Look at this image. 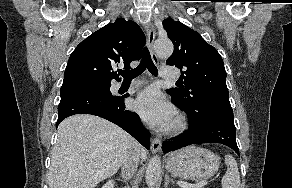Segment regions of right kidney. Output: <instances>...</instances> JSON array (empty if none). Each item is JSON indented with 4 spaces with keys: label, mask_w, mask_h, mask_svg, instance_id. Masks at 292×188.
I'll list each match as a JSON object with an SVG mask.
<instances>
[{
    "label": "right kidney",
    "mask_w": 292,
    "mask_h": 188,
    "mask_svg": "<svg viewBox=\"0 0 292 188\" xmlns=\"http://www.w3.org/2000/svg\"><path fill=\"white\" fill-rule=\"evenodd\" d=\"M102 188H114V181L110 180Z\"/></svg>",
    "instance_id": "obj_1"
}]
</instances>
